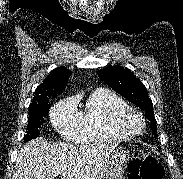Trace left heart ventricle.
Segmentation results:
<instances>
[{
    "mask_svg": "<svg viewBox=\"0 0 183 179\" xmlns=\"http://www.w3.org/2000/svg\"><path fill=\"white\" fill-rule=\"evenodd\" d=\"M125 126L131 131H136L140 128V121L135 115L129 114L125 119Z\"/></svg>",
    "mask_w": 183,
    "mask_h": 179,
    "instance_id": "1",
    "label": "left heart ventricle"
}]
</instances>
